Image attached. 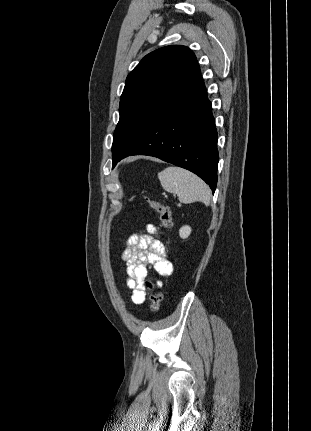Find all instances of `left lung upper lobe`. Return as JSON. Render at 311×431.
I'll return each instance as SVG.
<instances>
[{
  "label": "left lung upper lobe",
  "mask_w": 311,
  "mask_h": 431,
  "mask_svg": "<svg viewBox=\"0 0 311 431\" xmlns=\"http://www.w3.org/2000/svg\"><path fill=\"white\" fill-rule=\"evenodd\" d=\"M199 69L194 53L181 45L157 49L140 61L127 76L120 98L113 158L123 154L139 138L165 103Z\"/></svg>",
  "instance_id": "left-lung-upper-lobe-1"
}]
</instances>
